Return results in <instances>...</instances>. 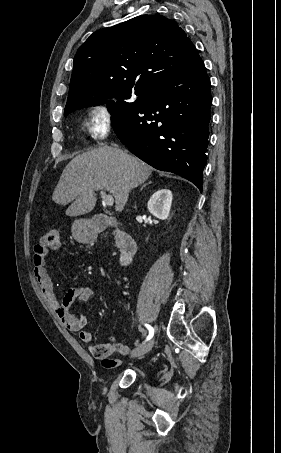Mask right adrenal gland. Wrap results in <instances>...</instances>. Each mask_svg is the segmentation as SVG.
<instances>
[{
  "label": "right adrenal gland",
  "mask_w": 281,
  "mask_h": 453,
  "mask_svg": "<svg viewBox=\"0 0 281 453\" xmlns=\"http://www.w3.org/2000/svg\"><path fill=\"white\" fill-rule=\"evenodd\" d=\"M152 180H149V182H145V184H143V186H141L140 190H142V188H144V186H146V184H151Z\"/></svg>",
  "instance_id": "2a0ac1e0"
}]
</instances>
